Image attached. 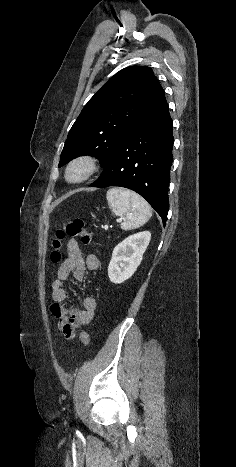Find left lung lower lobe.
I'll list each match as a JSON object with an SVG mask.
<instances>
[{
    "label": "left lung lower lobe",
    "instance_id": "0a47b994",
    "mask_svg": "<svg viewBox=\"0 0 236 467\" xmlns=\"http://www.w3.org/2000/svg\"><path fill=\"white\" fill-rule=\"evenodd\" d=\"M173 121L162 99L119 141L92 187L120 186L144 197L166 224L172 165Z\"/></svg>",
    "mask_w": 236,
    "mask_h": 467
}]
</instances>
